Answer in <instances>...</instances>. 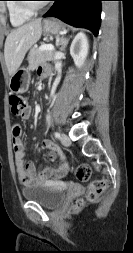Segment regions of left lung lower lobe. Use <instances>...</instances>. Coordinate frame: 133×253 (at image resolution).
Returning a JSON list of instances; mask_svg holds the SVG:
<instances>
[{"instance_id":"0a47b994","label":"left lung lower lobe","mask_w":133,"mask_h":253,"mask_svg":"<svg viewBox=\"0 0 133 253\" xmlns=\"http://www.w3.org/2000/svg\"><path fill=\"white\" fill-rule=\"evenodd\" d=\"M53 1V6L43 17H56L70 25L87 28L97 36L100 27V3L103 0Z\"/></svg>"}]
</instances>
